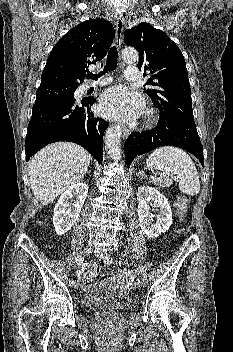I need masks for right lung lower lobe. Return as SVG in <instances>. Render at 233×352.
Here are the masks:
<instances>
[{"label": "right lung lower lobe", "mask_w": 233, "mask_h": 352, "mask_svg": "<svg viewBox=\"0 0 233 352\" xmlns=\"http://www.w3.org/2000/svg\"><path fill=\"white\" fill-rule=\"evenodd\" d=\"M95 98L43 102L33 105L25 140L26 161L47 144L68 141L84 147L99 163L103 161V134L109 124L94 117Z\"/></svg>", "instance_id": "obj_1"}]
</instances>
